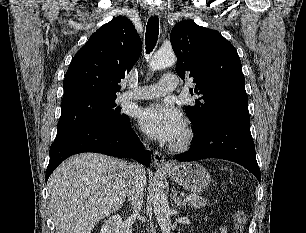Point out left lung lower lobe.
<instances>
[{"instance_id":"obj_1","label":"left lung lower lobe","mask_w":306,"mask_h":233,"mask_svg":"<svg viewBox=\"0 0 306 233\" xmlns=\"http://www.w3.org/2000/svg\"><path fill=\"white\" fill-rule=\"evenodd\" d=\"M193 147L186 153L175 156L181 161L203 158H220L238 163L260 181V169L255 155V146L250 132V121H217L195 132Z\"/></svg>"}]
</instances>
